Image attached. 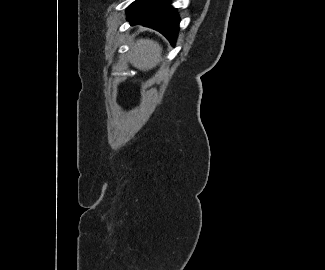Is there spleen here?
Wrapping results in <instances>:
<instances>
[{
	"instance_id": "1",
	"label": "spleen",
	"mask_w": 325,
	"mask_h": 270,
	"mask_svg": "<svg viewBox=\"0 0 325 270\" xmlns=\"http://www.w3.org/2000/svg\"><path fill=\"white\" fill-rule=\"evenodd\" d=\"M162 47L150 39H138L132 43L129 53L130 63L137 69L148 71L161 60Z\"/></svg>"
}]
</instances>
